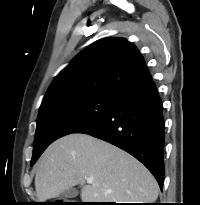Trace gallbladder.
<instances>
[{
    "label": "gallbladder",
    "instance_id": "gallbladder-1",
    "mask_svg": "<svg viewBox=\"0 0 200 205\" xmlns=\"http://www.w3.org/2000/svg\"><path fill=\"white\" fill-rule=\"evenodd\" d=\"M77 195H78V190L72 187L62 192L58 196V199L73 198V197H76Z\"/></svg>",
    "mask_w": 200,
    "mask_h": 205
}]
</instances>
